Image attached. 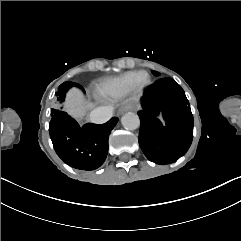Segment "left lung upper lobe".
Returning <instances> with one entry per match:
<instances>
[{
    "label": "left lung upper lobe",
    "mask_w": 241,
    "mask_h": 241,
    "mask_svg": "<svg viewBox=\"0 0 241 241\" xmlns=\"http://www.w3.org/2000/svg\"><path fill=\"white\" fill-rule=\"evenodd\" d=\"M153 74H154L155 76H158V75H159V73H157V72H154Z\"/></svg>",
    "instance_id": "obj_1"
}]
</instances>
